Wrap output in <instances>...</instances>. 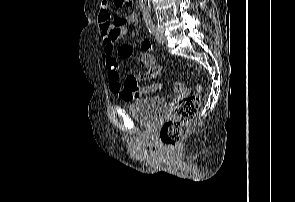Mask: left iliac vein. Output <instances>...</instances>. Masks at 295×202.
<instances>
[{"instance_id":"1","label":"left iliac vein","mask_w":295,"mask_h":202,"mask_svg":"<svg viewBox=\"0 0 295 202\" xmlns=\"http://www.w3.org/2000/svg\"><path fill=\"white\" fill-rule=\"evenodd\" d=\"M155 38L159 44H165L167 39L164 34H162L159 30L155 29Z\"/></svg>"}]
</instances>
